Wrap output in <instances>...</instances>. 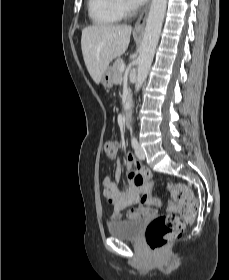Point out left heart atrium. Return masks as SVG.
<instances>
[{
    "instance_id": "left-heart-atrium-1",
    "label": "left heart atrium",
    "mask_w": 229,
    "mask_h": 280,
    "mask_svg": "<svg viewBox=\"0 0 229 280\" xmlns=\"http://www.w3.org/2000/svg\"><path fill=\"white\" fill-rule=\"evenodd\" d=\"M146 0H131V2L134 4V5H140L142 3H144Z\"/></svg>"
}]
</instances>
